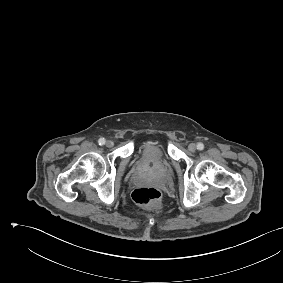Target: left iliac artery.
I'll return each mask as SVG.
<instances>
[{"label": "left iliac artery", "instance_id": "left-iliac-artery-1", "mask_svg": "<svg viewBox=\"0 0 283 283\" xmlns=\"http://www.w3.org/2000/svg\"><path fill=\"white\" fill-rule=\"evenodd\" d=\"M197 149H198V150H203V149H204L203 143H198V144H197Z\"/></svg>", "mask_w": 283, "mask_h": 283}]
</instances>
